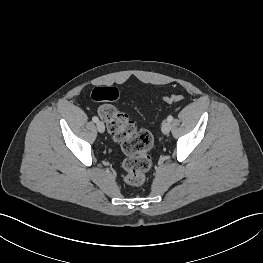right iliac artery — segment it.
<instances>
[{
	"mask_svg": "<svg viewBox=\"0 0 263 263\" xmlns=\"http://www.w3.org/2000/svg\"><path fill=\"white\" fill-rule=\"evenodd\" d=\"M92 121L95 122V123H97V122L99 121V119H98V117L94 116V117L92 118Z\"/></svg>",
	"mask_w": 263,
	"mask_h": 263,
	"instance_id": "obj_1",
	"label": "right iliac artery"
}]
</instances>
